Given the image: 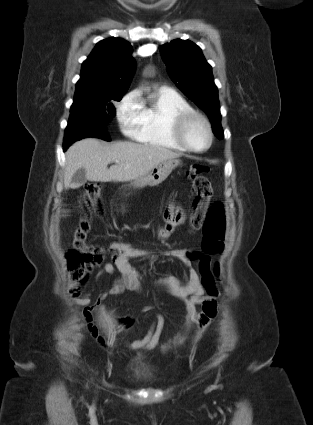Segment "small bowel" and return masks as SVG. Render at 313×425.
<instances>
[{
  "label": "small bowel",
  "instance_id": "obj_1",
  "mask_svg": "<svg viewBox=\"0 0 313 425\" xmlns=\"http://www.w3.org/2000/svg\"><path fill=\"white\" fill-rule=\"evenodd\" d=\"M164 220L165 225L158 230V236L161 239L167 238L176 225L183 223L185 215L181 209L170 205L165 212ZM110 249L115 252L112 260L107 262L97 272L95 278L98 279L104 275L118 272L119 275L114 284L107 291L100 293L94 300L91 299L89 293L80 292L74 298V302L82 307V317L90 335L106 350H110L113 344L100 335L94 322V311L109 296L120 295L126 290L137 293L142 291V277L131 263V259L147 255L146 251L134 249L126 242H113L110 244ZM188 251V249H174L168 252V255L177 258L184 264L186 268L184 280L180 281L175 276H167L158 280L157 285L184 303L187 311V324L188 326L196 325L194 339L197 340L213 321L216 315L217 300L205 296L201 275L187 258ZM103 259V255L98 254L93 266L101 264ZM197 305H201L202 308L199 313L196 310ZM151 308V306H146L142 308L141 312H147ZM134 320V317L118 318L115 320V327L118 331H121L129 327ZM164 323V317L161 314H157L146 335L141 339L129 342L128 347L133 350H151L156 348ZM183 341L184 335H180L173 341L163 345L162 350L165 351L178 346Z\"/></svg>",
  "mask_w": 313,
  "mask_h": 425
}]
</instances>
